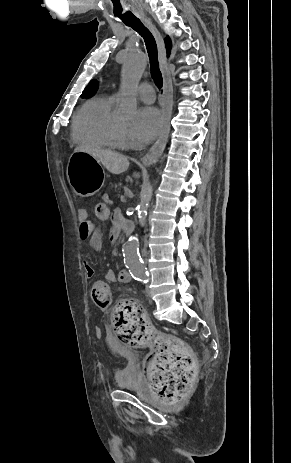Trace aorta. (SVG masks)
<instances>
[{
	"label": "aorta",
	"instance_id": "1",
	"mask_svg": "<svg viewBox=\"0 0 291 463\" xmlns=\"http://www.w3.org/2000/svg\"><path fill=\"white\" fill-rule=\"evenodd\" d=\"M147 60L144 54L134 51L126 53L121 72V108L125 117L131 118L137 110V88ZM153 188L151 185L143 190L141 201L138 206V220L140 226H144L147 208L152 198ZM124 263L130 273L139 278L146 277V268L139 254V239L131 236L123 247Z\"/></svg>",
	"mask_w": 291,
	"mask_h": 463
}]
</instances>
